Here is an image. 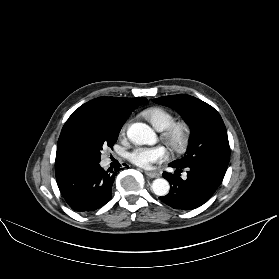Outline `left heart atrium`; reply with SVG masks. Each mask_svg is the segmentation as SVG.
<instances>
[{
    "instance_id": "39dd6f15",
    "label": "left heart atrium",
    "mask_w": 279,
    "mask_h": 279,
    "mask_svg": "<svg viewBox=\"0 0 279 279\" xmlns=\"http://www.w3.org/2000/svg\"><path fill=\"white\" fill-rule=\"evenodd\" d=\"M127 156L133 164L148 169L154 163L165 161L168 158V150L163 145L136 146Z\"/></svg>"
}]
</instances>
